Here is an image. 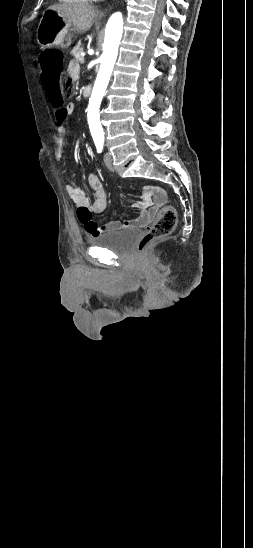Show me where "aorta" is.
Here are the masks:
<instances>
[{
	"label": "aorta",
	"mask_w": 253,
	"mask_h": 548,
	"mask_svg": "<svg viewBox=\"0 0 253 548\" xmlns=\"http://www.w3.org/2000/svg\"><path fill=\"white\" fill-rule=\"evenodd\" d=\"M123 33V16L120 12L109 18L103 45V54L100 58V69L92 90L88 105V120L93 138H104L103 129L99 120V107L110 80L111 73L118 55V47Z\"/></svg>",
	"instance_id": "762f6f07"
}]
</instances>
